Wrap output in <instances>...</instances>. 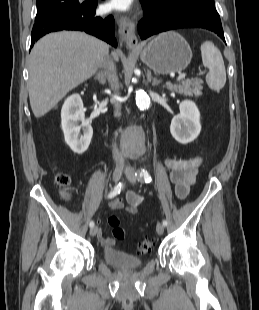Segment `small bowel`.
Here are the masks:
<instances>
[{
  "label": "small bowel",
  "instance_id": "1",
  "mask_svg": "<svg viewBox=\"0 0 259 310\" xmlns=\"http://www.w3.org/2000/svg\"><path fill=\"white\" fill-rule=\"evenodd\" d=\"M200 163V157L189 159L167 158L165 160V164L170 170V180L175 186V194L178 199L184 200L188 196L191 186L195 183V177ZM141 201L142 198L139 195L133 191H128L126 194V202L128 205L126 207L124 200L117 197L108 203V208L112 210L125 208L129 214H136ZM103 210L104 209H102V211ZM97 237L105 248L114 247L115 240L110 237H104L100 229L97 231Z\"/></svg>",
  "mask_w": 259,
  "mask_h": 310
}]
</instances>
